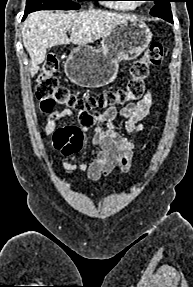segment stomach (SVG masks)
<instances>
[{
    "instance_id": "stomach-1",
    "label": "stomach",
    "mask_w": 193,
    "mask_h": 287,
    "mask_svg": "<svg viewBox=\"0 0 193 287\" xmlns=\"http://www.w3.org/2000/svg\"><path fill=\"white\" fill-rule=\"evenodd\" d=\"M151 38L144 22L121 23L102 37L100 50L87 45L74 48L65 62V73L80 87L106 86L115 80L119 62L136 59L149 46Z\"/></svg>"
}]
</instances>
